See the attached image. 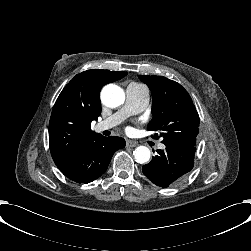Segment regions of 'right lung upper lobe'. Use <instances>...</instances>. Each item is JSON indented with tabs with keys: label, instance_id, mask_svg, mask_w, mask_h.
I'll use <instances>...</instances> for the list:
<instances>
[{
	"label": "right lung upper lobe",
	"instance_id": "cb5924a9",
	"mask_svg": "<svg viewBox=\"0 0 251 251\" xmlns=\"http://www.w3.org/2000/svg\"><path fill=\"white\" fill-rule=\"evenodd\" d=\"M126 75L127 72L91 69L77 74L65 86L49 122L50 151L57 166L72 159L99 135L91 130V122L101 114V88Z\"/></svg>",
	"mask_w": 251,
	"mask_h": 251
}]
</instances>
